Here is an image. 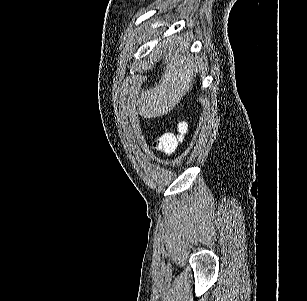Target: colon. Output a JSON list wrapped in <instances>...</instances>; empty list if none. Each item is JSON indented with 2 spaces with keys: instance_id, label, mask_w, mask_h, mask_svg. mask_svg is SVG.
<instances>
[{
  "instance_id": "colon-1",
  "label": "colon",
  "mask_w": 307,
  "mask_h": 301,
  "mask_svg": "<svg viewBox=\"0 0 307 301\" xmlns=\"http://www.w3.org/2000/svg\"><path fill=\"white\" fill-rule=\"evenodd\" d=\"M179 130L181 133H184L187 130V124L181 123ZM179 140V136L175 134H165L156 141L155 148L164 153H171L175 150Z\"/></svg>"
}]
</instances>
